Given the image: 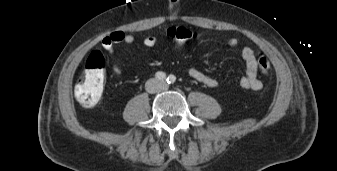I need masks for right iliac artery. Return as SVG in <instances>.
I'll list each match as a JSON object with an SVG mask.
<instances>
[{
	"mask_svg": "<svg viewBox=\"0 0 337 171\" xmlns=\"http://www.w3.org/2000/svg\"><path fill=\"white\" fill-rule=\"evenodd\" d=\"M156 79L160 80V81H164L166 80V74L164 72H157L155 74Z\"/></svg>",
	"mask_w": 337,
	"mask_h": 171,
	"instance_id": "82829eb1",
	"label": "right iliac artery"
}]
</instances>
